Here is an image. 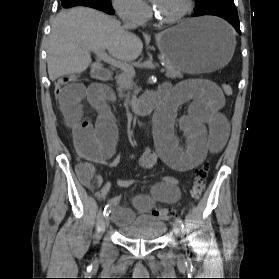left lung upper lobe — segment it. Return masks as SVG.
Returning <instances> with one entry per match:
<instances>
[{"instance_id":"obj_1","label":"left lung upper lobe","mask_w":279,"mask_h":279,"mask_svg":"<svg viewBox=\"0 0 279 279\" xmlns=\"http://www.w3.org/2000/svg\"><path fill=\"white\" fill-rule=\"evenodd\" d=\"M197 3V7L204 4L205 2H207L208 0H195Z\"/></svg>"}]
</instances>
